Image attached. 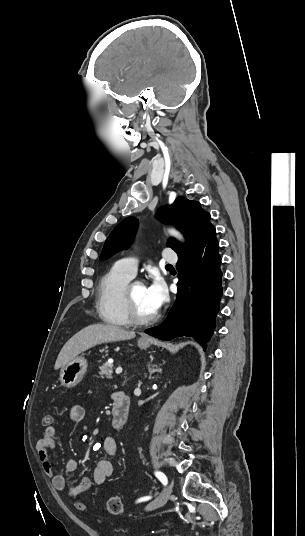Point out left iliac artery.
<instances>
[{"mask_svg": "<svg viewBox=\"0 0 305 536\" xmlns=\"http://www.w3.org/2000/svg\"><path fill=\"white\" fill-rule=\"evenodd\" d=\"M155 475H156V477L162 482L163 485H167L168 480H167V477H166V475H165L164 473H162V472H156ZM148 499H150V497L147 496V497L141 498V499L139 500V502H140V501H146V500H148Z\"/></svg>", "mask_w": 305, "mask_h": 536, "instance_id": "left-iliac-artery-1", "label": "left iliac artery"}]
</instances>
